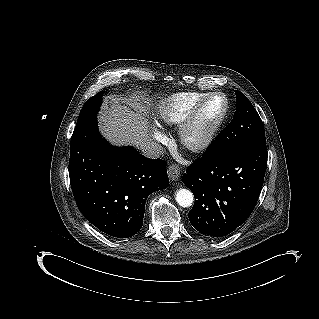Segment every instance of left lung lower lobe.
Returning a JSON list of instances; mask_svg holds the SVG:
<instances>
[{"instance_id": "1", "label": "left lung lower lobe", "mask_w": 319, "mask_h": 319, "mask_svg": "<svg viewBox=\"0 0 319 319\" xmlns=\"http://www.w3.org/2000/svg\"><path fill=\"white\" fill-rule=\"evenodd\" d=\"M266 143L203 156L191 164L183 182L194 194L188 218L202 236L221 238L243 224L258 200L267 167Z\"/></svg>"}]
</instances>
